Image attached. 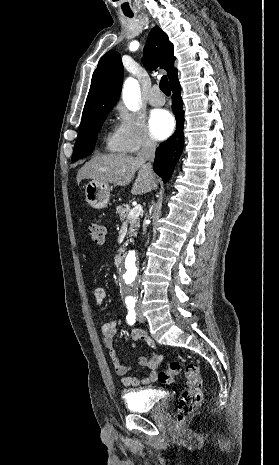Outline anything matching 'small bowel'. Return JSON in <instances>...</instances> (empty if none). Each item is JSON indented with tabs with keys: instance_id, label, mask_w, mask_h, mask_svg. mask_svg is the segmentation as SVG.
Masks as SVG:
<instances>
[{
	"instance_id": "1",
	"label": "small bowel",
	"mask_w": 279,
	"mask_h": 465,
	"mask_svg": "<svg viewBox=\"0 0 279 465\" xmlns=\"http://www.w3.org/2000/svg\"><path fill=\"white\" fill-rule=\"evenodd\" d=\"M93 295L95 303L97 305H100L105 301L107 297V292L104 288L97 287L95 288ZM100 331L102 334L104 345L108 350L110 361L114 366L116 374L121 377V383L124 387H137L139 385H149L158 380L156 369L164 360V356L156 354V344L146 334V332H144L143 330L136 329L133 330L131 333V338L134 341H142L144 343L145 348L149 352L148 356H143L139 359V365L147 367L150 370V372L146 377L139 380L137 377L130 374L131 367L122 364L120 357L113 346V339L117 333V322L109 321L103 323L100 328Z\"/></svg>"
}]
</instances>
